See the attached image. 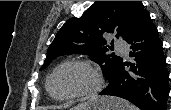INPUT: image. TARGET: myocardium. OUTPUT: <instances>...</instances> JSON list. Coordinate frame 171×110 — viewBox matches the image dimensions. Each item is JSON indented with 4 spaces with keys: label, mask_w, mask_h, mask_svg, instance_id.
I'll use <instances>...</instances> for the list:
<instances>
[{
    "label": "myocardium",
    "mask_w": 171,
    "mask_h": 110,
    "mask_svg": "<svg viewBox=\"0 0 171 110\" xmlns=\"http://www.w3.org/2000/svg\"><path fill=\"white\" fill-rule=\"evenodd\" d=\"M70 65L82 66V67L86 68L87 70H89L94 77V84L91 88H89L87 90L75 92V93H72V94H70L68 96H64V97H57L51 91V87H50L51 81L60 69L66 67V66H70ZM103 88H104V78H103L101 72L92 63H90L86 60H82V59H70V60H66V61L60 63L58 66H56L53 69V71L50 73V75L48 76L47 81H46V90H47L48 94L54 100H57V101H70V100L79 99V98H83V99L93 98V97L97 96L103 90Z\"/></svg>",
    "instance_id": "obj_1"
}]
</instances>
